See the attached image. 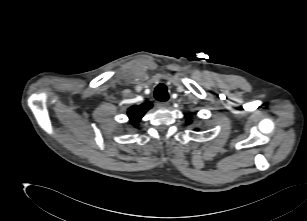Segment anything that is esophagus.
I'll use <instances>...</instances> for the list:
<instances>
[{"instance_id":"1","label":"esophagus","mask_w":307,"mask_h":221,"mask_svg":"<svg viewBox=\"0 0 307 221\" xmlns=\"http://www.w3.org/2000/svg\"><path fill=\"white\" fill-rule=\"evenodd\" d=\"M169 106L168 102H156L157 108H167Z\"/></svg>"}]
</instances>
